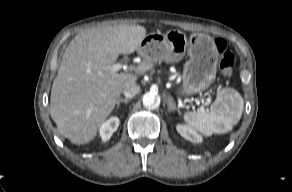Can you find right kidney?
<instances>
[{"instance_id": "1", "label": "right kidney", "mask_w": 292, "mask_h": 192, "mask_svg": "<svg viewBox=\"0 0 292 192\" xmlns=\"http://www.w3.org/2000/svg\"><path fill=\"white\" fill-rule=\"evenodd\" d=\"M119 119L117 117H111L100 127V136L104 142L108 141L112 134L118 129Z\"/></svg>"}]
</instances>
